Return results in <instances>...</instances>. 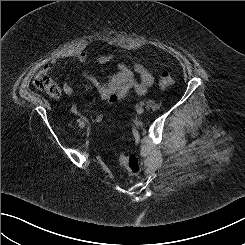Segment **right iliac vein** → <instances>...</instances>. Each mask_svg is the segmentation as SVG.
Here are the masks:
<instances>
[{
	"instance_id": "right-iliac-vein-1",
	"label": "right iliac vein",
	"mask_w": 245,
	"mask_h": 245,
	"mask_svg": "<svg viewBox=\"0 0 245 245\" xmlns=\"http://www.w3.org/2000/svg\"><path fill=\"white\" fill-rule=\"evenodd\" d=\"M84 126H85V123L83 122V123L80 125V127H81V128H84Z\"/></svg>"
}]
</instances>
